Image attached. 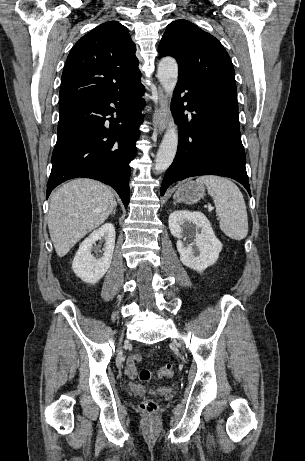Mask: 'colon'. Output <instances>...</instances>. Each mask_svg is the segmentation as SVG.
Masks as SVG:
<instances>
[{
  "mask_svg": "<svg viewBox=\"0 0 305 461\" xmlns=\"http://www.w3.org/2000/svg\"><path fill=\"white\" fill-rule=\"evenodd\" d=\"M174 374V367L171 364L163 365L159 371L158 376L162 378L172 377ZM137 377L142 382H148L153 379V373L147 368H140L137 371ZM140 409L147 415H154L158 410L157 403L152 399H145L140 404Z\"/></svg>",
  "mask_w": 305,
  "mask_h": 461,
  "instance_id": "1",
  "label": "colon"
}]
</instances>
